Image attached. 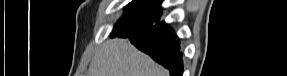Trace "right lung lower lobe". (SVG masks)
Instances as JSON below:
<instances>
[{"label": "right lung lower lobe", "instance_id": "1", "mask_svg": "<svg viewBox=\"0 0 287 76\" xmlns=\"http://www.w3.org/2000/svg\"><path fill=\"white\" fill-rule=\"evenodd\" d=\"M141 51L170 71L171 76H182L183 62L179 40L164 22L158 23L141 34L127 36Z\"/></svg>", "mask_w": 287, "mask_h": 76}]
</instances>
